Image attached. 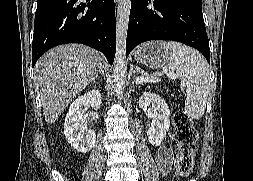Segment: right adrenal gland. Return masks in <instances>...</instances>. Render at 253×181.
Wrapping results in <instances>:
<instances>
[{"label":"right adrenal gland","instance_id":"right-adrenal-gland-1","mask_svg":"<svg viewBox=\"0 0 253 181\" xmlns=\"http://www.w3.org/2000/svg\"><path fill=\"white\" fill-rule=\"evenodd\" d=\"M100 74L104 77L105 76L104 70H101Z\"/></svg>","mask_w":253,"mask_h":181}]
</instances>
